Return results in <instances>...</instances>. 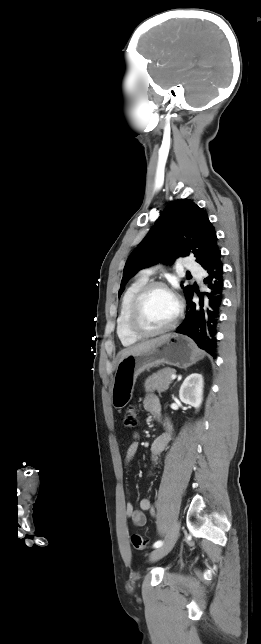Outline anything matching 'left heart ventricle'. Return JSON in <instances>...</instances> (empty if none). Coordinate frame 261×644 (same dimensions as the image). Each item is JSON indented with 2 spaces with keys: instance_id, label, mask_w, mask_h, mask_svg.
Segmentation results:
<instances>
[{
  "instance_id": "obj_1",
  "label": "left heart ventricle",
  "mask_w": 261,
  "mask_h": 644,
  "mask_svg": "<svg viewBox=\"0 0 261 644\" xmlns=\"http://www.w3.org/2000/svg\"><path fill=\"white\" fill-rule=\"evenodd\" d=\"M177 311L175 297L166 290L154 289L144 299L140 324L146 330H156L168 325Z\"/></svg>"
}]
</instances>
